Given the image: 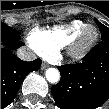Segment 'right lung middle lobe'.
Returning a JSON list of instances; mask_svg holds the SVG:
<instances>
[{
    "label": "right lung middle lobe",
    "mask_w": 109,
    "mask_h": 109,
    "mask_svg": "<svg viewBox=\"0 0 109 109\" xmlns=\"http://www.w3.org/2000/svg\"><path fill=\"white\" fill-rule=\"evenodd\" d=\"M1 34L16 40H20V33L3 22H1Z\"/></svg>",
    "instance_id": "dd1d6c3e"
}]
</instances>
